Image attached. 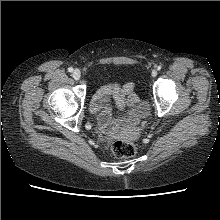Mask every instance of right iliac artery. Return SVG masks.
<instances>
[{
  "label": "right iliac artery",
  "instance_id": "1",
  "mask_svg": "<svg viewBox=\"0 0 220 220\" xmlns=\"http://www.w3.org/2000/svg\"><path fill=\"white\" fill-rule=\"evenodd\" d=\"M68 71H69V72H73V68H72V67H69V68H68Z\"/></svg>",
  "mask_w": 220,
  "mask_h": 220
}]
</instances>
